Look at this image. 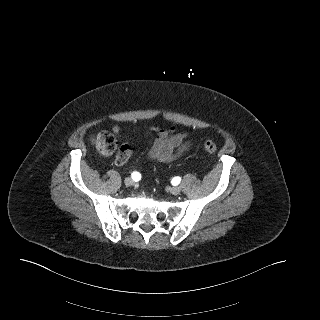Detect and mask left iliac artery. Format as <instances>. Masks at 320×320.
<instances>
[{
    "mask_svg": "<svg viewBox=\"0 0 320 320\" xmlns=\"http://www.w3.org/2000/svg\"><path fill=\"white\" fill-rule=\"evenodd\" d=\"M180 181H181V178H180V177H175V178H173V179H172V183H173V185H177V184H179V183H180Z\"/></svg>",
    "mask_w": 320,
    "mask_h": 320,
    "instance_id": "44dca946",
    "label": "left iliac artery"
}]
</instances>
